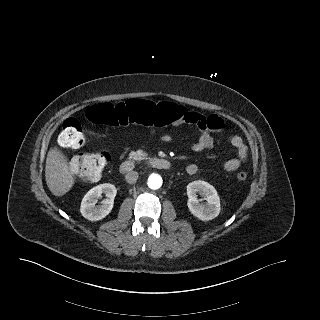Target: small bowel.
Instances as JSON below:
<instances>
[{
  "label": "small bowel",
  "mask_w": 320,
  "mask_h": 320,
  "mask_svg": "<svg viewBox=\"0 0 320 320\" xmlns=\"http://www.w3.org/2000/svg\"><path fill=\"white\" fill-rule=\"evenodd\" d=\"M182 112V117L173 122L174 125H179L181 123L194 124L199 128V137L197 141L192 145L194 151H202L209 149L213 146L214 139L211 131H219L223 128V120L218 116H204L195 111H188L180 107ZM170 135H165L162 137L164 141H169ZM232 147L236 151V157L227 160L223 168L227 172H233L237 170L247 159L248 147L244 143L243 139L234 135L230 139ZM198 172V166L196 164H189L186 167V173L188 175H195Z\"/></svg>",
  "instance_id": "1"
}]
</instances>
